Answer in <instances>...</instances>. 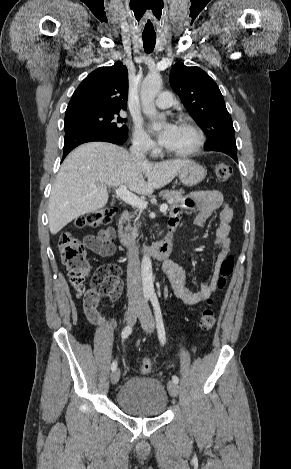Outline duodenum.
Masks as SVG:
<instances>
[{"instance_id":"obj_1","label":"duodenum","mask_w":291,"mask_h":469,"mask_svg":"<svg viewBox=\"0 0 291 469\" xmlns=\"http://www.w3.org/2000/svg\"><path fill=\"white\" fill-rule=\"evenodd\" d=\"M174 229L173 227H168V232L166 236L152 244L151 246L143 247V251L157 259H166L172 252L173 241H174ZM118 234L121 243L128 247H134V240L131 235L130 227V213L128 210H124L121 214L118 223Z\"/></svg>"}]
</instances>
